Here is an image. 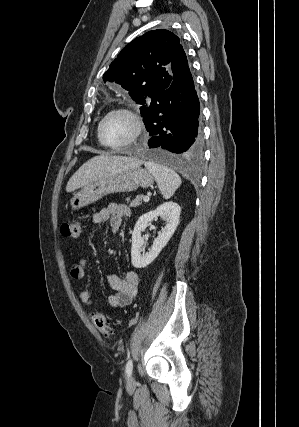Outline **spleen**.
I'll use <instances>...</instances> for the list:
<instances>
[{
	"instance_id": "obj_1",
	"label": "spleen",
	"mask_w": 299,
	"mask_h": 427,
	"mask_svg": "<svg viewBox=\"0 0 299 427\" xmlns=\"http://www.w3.org/2000/svg\"><path fill=\"white\" fill-rule=\"evenodd\" d=\"M146 169L155 177L157 185L165 199H169L182 181L180 176L171 168L154 161L145 162Z\"/></svg>"
}]
</instances>
